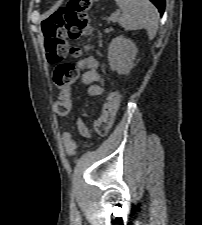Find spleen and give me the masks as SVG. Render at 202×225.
Listing matches in <instances>:
<instances>
[{"label": "spleen", "instance_id": "3e777b00", "mask_svg": "<svg viewBox=\"0 0 202 225\" xmlns=\"http://www.w3.org/2000/svg\"><path fill=\"white\" fill-rule=\"evenodd\" d=\"M122 10L119 24L125 30L146 29L149 39L156 34L159 13L149 0H115Z\"/></svg>", "mask_w": 202, "mask_h": 225}]
</instances>
